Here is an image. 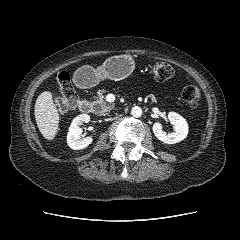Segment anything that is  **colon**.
Returning a JSON list of instances; mask_svg holds the SVG:
<instances>
[{"label": "colon", "instance_id": "1", "mask_svg": "<svg viewBox=\"0 0 240 240\" xmlns=\"http://www.w3.org/2000/svg\"><path fill=\"white\" fill-rule=\"evenodd\" d=\"M151 73L154 80L164 82L174 76V68L164 61H157L153 64ZM57 83L59 95L56 98V105L60 111L64 112L76 105L77 94L68 72H59L57 75ZM181 95L183 100L192 108H197L201 103V90L196 85H186L182 89Z\"/></svg>", "mask_w": 240, "mask_h": 240}]
</instances>
